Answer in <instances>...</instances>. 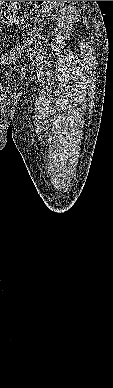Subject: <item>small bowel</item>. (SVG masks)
<instances>
[{
  "label": "small bowel",
  "instance_id": "c3829d8e",
  "mask_svg": "<svg viewBox=\"0 0 113 388\" xmlns=\"http://www.w3.org/2000/svg\"><path fill=\"white\" fill-rule=\"evenodd\" d=\"M5 3H6V1H0V7H2ZM11 3L15 4L17 2L16 1H11Z\"/></svg>",
  "mask_w": 113,
  "mask_h": 388
}]
</instances>
